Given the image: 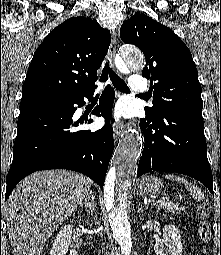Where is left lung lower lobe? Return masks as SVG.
Returning <instances> with one entry per match:
<instances>
[{
	"instance_id": "0a47b994",
	"label": "left lung lower lobe",
	"mask_w": 221,
	"mask_h": 255,
	"mask_svg": "<svg viewBox=\"0 0 221 255\" xmlns=\"http://www.w3.org/2000/svg\"><path fill=\"white\" fill-rule=\"evenodd\" d=\"M145 139L137 177L150 171L176 172L202 182L213 193V176L207 159L204 121L179 111L140 120Z\"/></svg>"
}]
</instances>
